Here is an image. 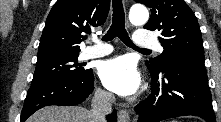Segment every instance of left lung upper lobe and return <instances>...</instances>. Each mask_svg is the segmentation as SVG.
<instances>
[{
	"mask_svg": "<svg viewBox=\"0 0 221 122\" xmlns=\"http://www.w3.org/2000/svg\"><path fill=\"white\" fill-rule=\"evenodd\" d=\"M151 8V17L144 26L160 31L159 41L164 48L147 66L154 73L181 62L204 66V48L197 19L184 0H135Z\"/></svg>",
	"mask_w": 221,
	"mask_h": 122,
	"instance_id": "obj_1",
	"label": "left lung upper lobe"
}]
</instances>
